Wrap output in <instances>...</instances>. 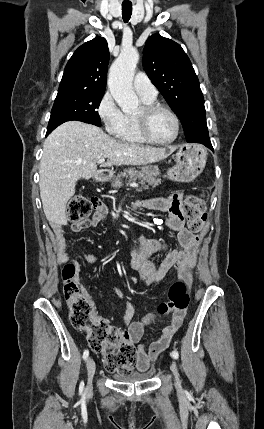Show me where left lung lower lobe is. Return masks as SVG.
I'll return each mask as SVG.
<instances>
[{"mask_svg": "<svg viewBox=\"0 0 264 429\" xmlns=\"http://www.w3.org/2000/svg\"><path fill=\"white\" fill-rule=\"evenodd\" d=\"M197 143H201V144L205 145L206 147H208L209 149H211L213 151V147L211 145L210 140H208V141H200V142H197Z\"/></svg>", "mask_w": 264, "mask_h": 429, "instance_id": "obj_1", "label": "left lung lower lobe"}]
</instances>
